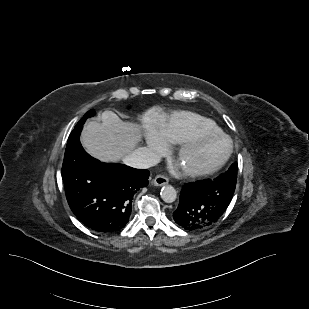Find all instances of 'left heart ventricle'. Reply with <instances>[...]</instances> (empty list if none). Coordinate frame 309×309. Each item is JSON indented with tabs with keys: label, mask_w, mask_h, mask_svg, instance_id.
Segmentation results:
<instances>
[{
	"label": "left heart ventricle",
	"mask_w": 309,
	"mask_h": 309,
	"mask_svg": "<svg viewBox=\"0 0 309 309\" xmlns=\"http://www.w3.org/2000/svg\"><path fill=\"white\" fill-rule=\"evenodd\" d=\"M227 147L224 139H206L183 153L178 162L182 168H208L222 158Z\"/></svg>",
	"instance_id": "b2bd125f"
}]
</instances>
